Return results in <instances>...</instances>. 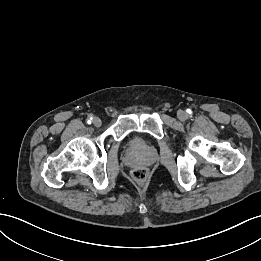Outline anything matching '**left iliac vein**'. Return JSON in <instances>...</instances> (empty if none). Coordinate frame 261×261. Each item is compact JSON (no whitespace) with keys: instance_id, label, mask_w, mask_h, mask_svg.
<instances>
[{"instance_id":"left-iliac-vein-1","label":"left iliac vein","mask_w":261,"mask_h":261,"mask_svg":"<svg viewBox=\"0 0 261 261\" xmlns=\"http://www.w3.org/2000/svg\"><path fill=\"white\" fill-rule=\"evenodd\" d=\"M177 116H178L179 120H181V121H185L188 118L187 113L183 110H179L177 113Z\"/></svg>"}]
</instances>
